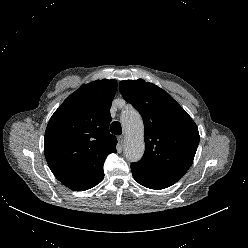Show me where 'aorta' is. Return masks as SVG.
Segmentation results:
<instances>
[{
	"label": "aorta",
	"instance_id": "1",
	"mask_svg": "<svg viewBox=\"0 0 248 248\" xmlns=\"http://www.w3.org/2000/svg\"><path fill=\"white\" fill-rule=\"evenodd\" d=\"M121 122L126 135L124 154L130 161H137L145 150L142 118L137 111L129 109L122 113Z\"/></svg>",
	"mask_w": 248,
	"mask_h": 248
}]
</instances>
